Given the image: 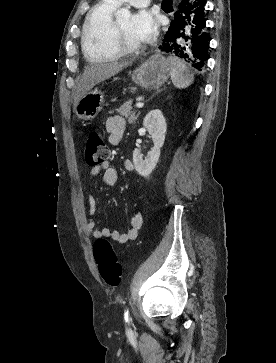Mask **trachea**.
Masks as SVG:
<instances>
[{"label":"trachea","mask_w":276,"mask_h":363,"mask_svg":"<svg viewBox=\"0 0 276 363\" xmlns=\"http://www.w3.org/2000/svg\"><path fill=\"white\" fill-rule=\"evenodd\" d=\"M169 4H171L170 0H163V2H162L163 6L169 5Z\"/></svg>","instance_id":"3493384b"}]
</instances>
